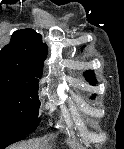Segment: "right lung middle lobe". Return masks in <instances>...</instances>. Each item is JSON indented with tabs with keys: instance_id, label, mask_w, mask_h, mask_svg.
<instances>
[{
	"instance_id": "dd1d6c3e",
	"label": "right lung middle lobe",
	"mask_w": 124,
	"mask_h": 149,
	"mask_svg": "<svg viewBox=\"0 0 124 149\" xmlns=\"http://www.w3.org/2000/svg\"><path fill=\"white\" fill-rule=\"evenodd\" d=\"M39 107L38 87L0 75V136L21 138L35 131Z\"/></svg>"
}]
</instances>
